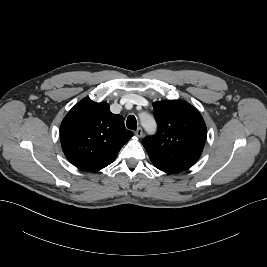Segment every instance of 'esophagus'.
I'll list each match as a JSON object with an SVG mask.
<instances>
[{"label":"esophagus","mask_w":267,"mask_h":267,"mask_svg":"<svg viewBox=\"0 0 267 267\" xmlns=\"http://www.w3.org/2000/svg\"><path fill=\"white\" fill-rule=\"evenodd\" d=\"M135 135L138 137V138H141L143 136V130L142 128H137V130L135 131Z\"/></svg>","instance_id":"1"}]
</instances>
